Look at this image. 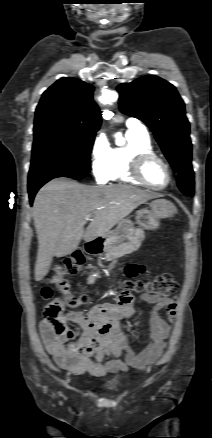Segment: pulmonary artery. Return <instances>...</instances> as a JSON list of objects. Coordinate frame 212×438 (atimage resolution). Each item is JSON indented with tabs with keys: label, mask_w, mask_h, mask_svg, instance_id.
Returning a JSON list of instances; mask_svg holds the SVG:
<instances>
[{
	"label": "pulmonary artery",
	"mask_w": 212,
	"mask_h": 438,
	"mask_svg": "<svg viewBox=\"0 0 212 438\" xmlns=\"http://www.w3.org/2000/svg\"><path fill=\"white\" fill-rule=\"evenodd\" d=\"M126 125L131 130L142 131V132L146 131L145 126L135 118L128 119Z\"/></svg>",
	"instance_id": "e3ab8cb5"
}]
</instances>
